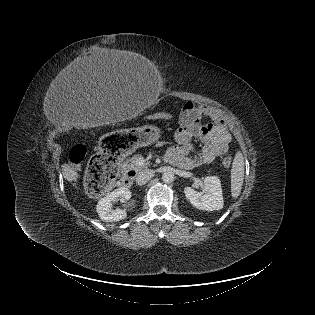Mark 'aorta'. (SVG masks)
Returning <instances> with one entry per match:
<instances>
[{
	"mask_svg": "<svg viewBox=\"0 0 315 315\" xmlns=\"http://www.w3.org/2000/svg\"><path fill=\"white\" fill-rule=\"evenodd\" d=\"M162 180L164 183H172L174 181V174L170 171L164 172Z\"/></svg>",
	"mask_w": 315,
	"mask_h": 315,
	"instance_id": "obj_1",
	"label": "aorta"
}]
</instances>
